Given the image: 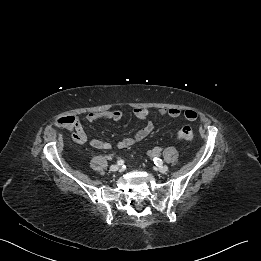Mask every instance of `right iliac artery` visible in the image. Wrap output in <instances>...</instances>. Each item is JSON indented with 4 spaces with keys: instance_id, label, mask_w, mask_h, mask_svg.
I'll return each instance as SVG.
<instances>
[{
    "instance_id": "1",
    "label": "right iliac artery",
    "mask_w": 261,
    "mask_h": 261,
    "mask_svg": "<svg viewBox=\"0 0 261 261\" xmlns=\"http://www.w3.org/2000/svg\"><path fill=\"white\" fill-rule=\"evenodd\" d=\"M123 163H124V160H122V159H119V160L117 161V164H118V165H123Z\"/></svg>"
}]
</instances>
